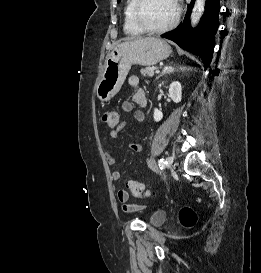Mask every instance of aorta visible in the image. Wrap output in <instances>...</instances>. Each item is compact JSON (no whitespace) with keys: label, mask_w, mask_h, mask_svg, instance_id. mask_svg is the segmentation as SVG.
<instances>
[{"label":"aorta","mask_w":261,"mask_h":273,"mask_svg":"<svg viewBox=\"0 0 261 273\" xmlns=\"http://www.w3.org/2000/svg\"><path fill=\"white\" fill-rule=\"evenodd\" d=\"M206 0H196L191 14V25L196 26L204 12Z\"/></svg>","instance_id":"obj_1"}]
</instances>
